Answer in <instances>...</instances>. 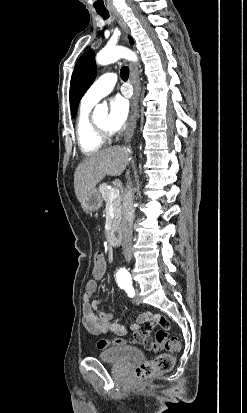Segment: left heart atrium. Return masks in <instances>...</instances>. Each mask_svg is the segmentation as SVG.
<instances>
[{
    "mask_svg": "<svg viewBox=\"0 0 247 413\" xmlns=\"http://www.w3.org/2000/svg\"><path fill=\"white\" fill-rule=\"evenodd\" d=\"M109 106V132L115 134L120 131L125 124L128 114V104L122 96L116 95L109 100Z\"/></svg>",
    "mask_w": 247,
    "mask_h": 413,
    "instance_id": "left-heart-atrium-1",
    "label": "left heart atrium"
}]
</instances>
